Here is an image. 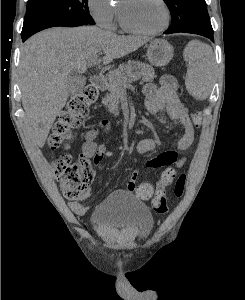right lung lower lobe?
<instances>
[{"instance_id":"1","label":"right lung lower lobe","mask_w":245,"mask_h":300,"mask_svg":"<svg viewBox=\"0 0 245 300\" xmlns=\"http://www.w3.org/2000/svg\"><path fill=\"white\" fill-rule=\"evenodd\" d=\"M30 36H23L22 39L23 41H25L27 38H29Z\"/></svg>"}]
</instances>
